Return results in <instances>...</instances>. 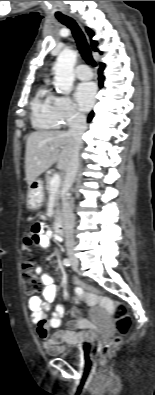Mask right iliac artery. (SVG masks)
Wrapping results in <instances>:
<instances>
[{
  "instance_id": "right-iliac-artery-1",
  "label": "right iliac artery",
  "mask_w": 155,
  "mask_h": 395,
  "mask_svg": "<svg viewBox=\"0 0 155 395\" xmlns=\"http://www.w3.org/2000/svg\"><path fill=\"white\" fill-rule=\"evenodd\" d=\"M63 265H65V266H70L71 265V262H70V260L69 259H64L63 260Z\"/></svg>"
}]
</instances>
